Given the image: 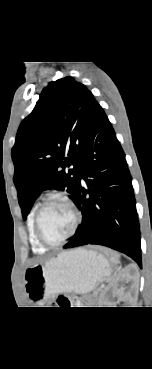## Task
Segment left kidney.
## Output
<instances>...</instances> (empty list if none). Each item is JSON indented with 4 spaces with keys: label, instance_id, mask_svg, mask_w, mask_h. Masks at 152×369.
<instances>
[{
    "label": "left kidney",
    "instance_id": "left-kidney-1",
    "mask_svg": "<svg viewBox=\"0 0 152 369\" xmlns=\"http://www.w3.org/2000/svg\"><path fill=\"white\" fill-rule=\"evenodd\" d=\"M129 282L132 290L138 288L139 273L134 265L124 268L111 282L110 286L100 294L99 307H113L116 303L112 301V298H116L119 301L128 299L123 284Z\"/></svg>",
    "mask_w": 152,
    "mask_h": 369
}]
</instances>
